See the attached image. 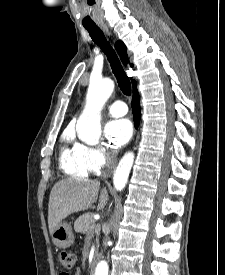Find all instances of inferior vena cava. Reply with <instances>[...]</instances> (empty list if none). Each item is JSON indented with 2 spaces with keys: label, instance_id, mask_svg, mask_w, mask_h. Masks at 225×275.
Returning a JSON list of instances; mask_svg holds the SVG:
<instances>
[{
  "label": "inferior vena cava",
  "instance_id": "1",
  "mask_svg": "<svg viewBox=\"0 0 225 275\" xmlns=\"http://www.w3.org/2000/svg\"><path fill=\"white\" fill-rule=\"evenodd\" d=\"M113 163H114V153L108 152L107 153V166L110 167ZM106 240H107V238H105V241H104L105 247H106Z\"/></svg>",
  "mask_w": 225,
  "mask_h": 275
}]
</instances>
